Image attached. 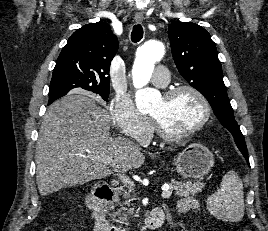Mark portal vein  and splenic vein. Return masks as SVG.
Here are the masks:
<instances>
[{"instance_id": "1", "label": "portal vein and splenic vein", "mask_w": 268, "mask_h": 231, "mask_svg": "<svg viewBox=\"0 0 268 231\" xmlns=\"http://www.w3.org/2000/svg\"><path fill=\"white\" fill-rule=\"evenodd\" d=\"M96 160H98L99 162H102V163H104V164H107V165H110V166H112L113 168H114V170L116 171V172H118L117 170H116V164L113 162V160H112V158L110 157V156H108V155H101V156H98L97 158H96ZM118 176H119V179L124 183V184H126V185H129V186H134V182L133 181H131V179L128 177V176H126V175H124V174H118ZM163 190V192H162V194H161V196L163 197V198H169L171 195H172V191L169 189V188H163L162 189Z\"/></svg>"}]
</instances>
